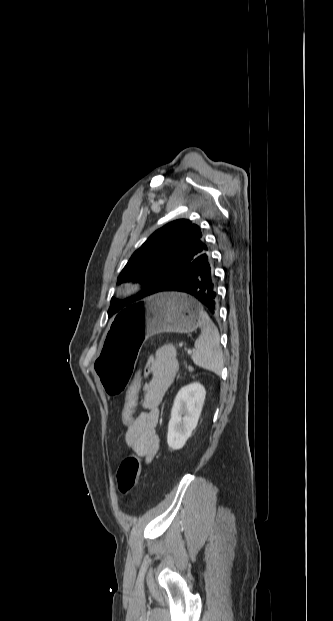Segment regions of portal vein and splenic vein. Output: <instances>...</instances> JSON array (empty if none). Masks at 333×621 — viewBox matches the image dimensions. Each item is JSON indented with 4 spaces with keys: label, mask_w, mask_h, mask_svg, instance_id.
<instances>
[{
    "label": "portal vein and splenic vein",
    "mask_w": 333,
    "mask_h": 621,
    "mask_svg": "<svg viewBox=\"0 0 333 621\" xmlns=\"http://www.w3.org/2000/svg\"><path fill=\"white\" fill-rule=\"evenodd\" d=\"M187 352H188V354H191V353H192V350H188Z\"/></svg>",
    "instance_id": "1"
}]
</instances>
